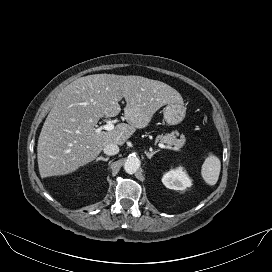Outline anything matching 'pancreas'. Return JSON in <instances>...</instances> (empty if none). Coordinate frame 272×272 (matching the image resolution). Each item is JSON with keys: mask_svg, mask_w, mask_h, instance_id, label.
<instances>
[{"mask_svg": "<svg viewBox=\"0 0 272 272\" xmlns=\"http://www.w3.org/2000/svg\"><path fill=\"white\" fill-rule=\"evenodd\" d=\"M177 136V132H172L165 135H159L156 137V140L169 146H175L177 148H180L184 145L186 139L183 135H181L180 138H177Z\"/></svg>", "mask_w": 272, "mask_h": 272, "instance_id": "pancreas-1", "label": "pancreas"}]
</instances>
